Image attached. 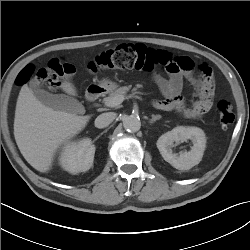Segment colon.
<instances>
[{"label":"colon","instance_id":"5ec220e1","mask_svg":"<svg viewBox=\"0 0 250 250\" xmlns=\"http://www.w3.org/2000/svg\"><path fill=\"white\" fill-rule=\"evenodd\" d=\"M186 57L175 56L163 50L146 47L141 44H121L97 55L87 64L90 73L112 69H134L139 71H153L160 69L169 74L180 73L190 68ZM74 73L71 64L59 59H52L46 68L36 70L33 66L24 67L16 77L17 85L26 84L32 77L50 89H57L64 77ZM211 69L202 64L199 66V80L195 85L192 102H201L206 99L212 90ZM218 119L223 129L229 128L235 116L231 104L221 100L216 106Z\"/></svg>","mask_w":250,"mask_h":250}]
</instances>
